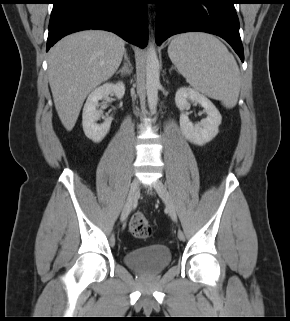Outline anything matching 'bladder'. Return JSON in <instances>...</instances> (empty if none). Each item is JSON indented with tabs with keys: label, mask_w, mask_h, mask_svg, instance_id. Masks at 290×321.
<instances>
[{
	"label": "bladder",
	"mask_w": 290,
	"mask_h": 321,
	"mask_svg": "<svg viewBox=\"0 0 290 321\" xmlns=\"http://www.w3.org/2000/svg\"><path fill=\"white\" fill-rule=\"evenodd\" d=\"M123 258L129 268L145 276H152L171 263L172 252L165 246L153 244L127 251Z\"/></svg>",
	"instance_id": "1"
}]
</instances>
